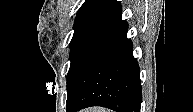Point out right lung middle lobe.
<instances>
[{"mask_svg":"<svg viewBox=\"0 0 193 112\" xmlns=\"http://www.w3.org/2000/svg\"><path fill=\"white\" fill-rule=\"evenodd\" d=\"M115 35V32L94 28L75 30L70 42L71 65L67 75L68 95L86 64Z\"/></svg>","mask_w":193,"mask_h":112,"instance_id":"1","label":"right lung middle lobe"}]
</instances>
